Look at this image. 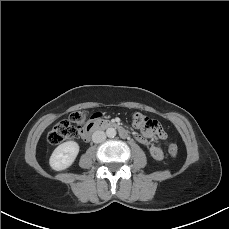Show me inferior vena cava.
<instances>
[{
  "label": "inferior vena cava",
  "mask_w": 229,
  "mask_h": 229,
  "mask_svg": "<svg viewBox=\"0 0 229 229\" xmlns=\"http://www.w3.org/2000/svg\"><path fill=\"white\" fill-rule=\"evenodd\" d=\"M106 139V134L104 131H95L92 135V141L94 143H101L105 141Z\"/></svg>",
  "instance_id": "obj_1"
}]
</instances>
